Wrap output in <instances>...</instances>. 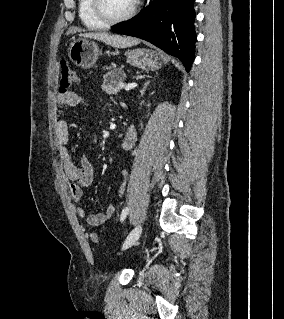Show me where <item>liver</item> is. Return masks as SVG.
Listing matches in <instances>:
<instances>
[{
  "label": "liver",
  "mask_w": 284,
  "mask_h": 319,
  "mask_svg": "<svg viewBox=\"0 0 284 319\" xmlns=\"http://www.w3.org/2000/svg\"><path fill=\"white\" fill-rule=\"evenodd\" d=\"M79 36L84 38L96 39L116 48L130 47L133 45H137L140 42L139 39L136 38L113 35L106 32L80 33Z\"/></svg>",
  "instance_id": "liver-1"
}]
</instances>
